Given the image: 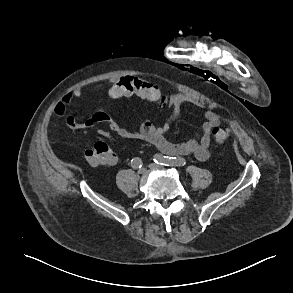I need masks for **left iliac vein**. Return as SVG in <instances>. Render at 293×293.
<instances>
[{
    "mask_svg": "<svg viewBox=\"0 0 293 293\" xmlns=\"http://www.w3.org/2000/svg\"><path fill=\"white\" fill-rule=\"evenodd\" d=\"M148 167L150 169H163L164 168L162 165L156 164V163H151V164L148 165Z\"/></svg>",
    "mask_w": 293,
    "mask_h": 293,
    "instance_id": "4c4485c4",
    "label": "left iliac vein"
}]
</instances>
